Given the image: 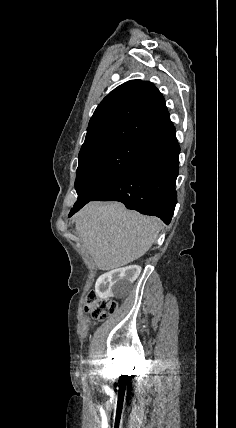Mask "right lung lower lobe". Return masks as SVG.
Instances as JSON below:
<instances>
[{"mask_svg":"<svg viewBox=\"0 0 236 428\" xmlns=\"http://www.w3.org/2000/svg\"><path fill=\"white\" fill-rule=\"evenodd\" d=\"M179 152L175 128L168 121L141 140L139 152L126 170L91 201H120L128 209L169 224L177 203ZM84 205L73 208L70 216Z\"/></svg>","mask_w":236,"mask_h":428,"instance_id":"1","label":"right lung lower lobe"}]
</instances>
